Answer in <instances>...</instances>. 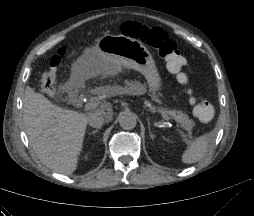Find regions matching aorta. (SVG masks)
<instances>
[{
    "mask_svg": "<svg viewBox=\"0 0 254 216\" xmlns=\"http://www.w3.org/2000/svg\"><path fill=\"white\" fill-rule=\"evenodd\" d=\"M119 124L123 129L131 130L137 125V118L134 114L123 113L119 116Z\"/></svg>",
    "mask_w": 254,
    "mask_h": 216,
    "instance_id": "762f6f07",
    "label": "aorta"
}]
</instances>
